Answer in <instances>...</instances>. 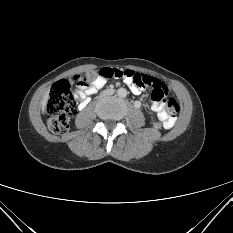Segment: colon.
Listing matches in <instances>:
<instances>
[{"mask_svg": "<svg viewBox=\"0 0 233 233\" xmlns=\"http://www.w3.org/2000/svg\"><path fill=\"white\" fill-rule=\"evenodd\" d=\"M99 77L106 79L122 78L138 88L152 90L153 102L163 104L166 114L171 119L179 112L178 102L174 98H167V89L164 83L131 70L102 68L99 71L88 72L84 76H76L74 84L77 88L83 90ZM75 109L76 102L70 83L66 80L56 82L51 89L45 108L49 129L57 135L64 134L69 128V116L74 113ZM153 126L156 129H161L166 127V123L158 121Z\"/></svg>", "mask_w": 233, "mask_h": 233, "instance_id": "1", "label": "colon"}]
</instances>
